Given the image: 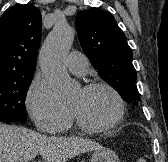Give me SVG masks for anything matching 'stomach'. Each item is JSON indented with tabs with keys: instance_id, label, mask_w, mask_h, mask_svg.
Wrapping results in <instances>:
<instances>
[{
	"instance_id": "0dacf381",
	"label": "stomach",
	"mask_w": 168,
	"mask_h": 162,
	"mask_svg": "<svg viewBox=\"0 0 168 162\" xmlns=\"http://www.w3.org/2000/svg\"><path fill=\"white\" fill-rule=\"evenodd\" d=\"M91 162H119V159L116 153L111 149L101 148L93 153Z\"/></svg>"
}]
</instances>
